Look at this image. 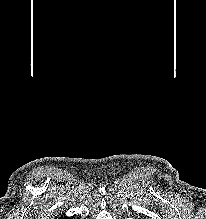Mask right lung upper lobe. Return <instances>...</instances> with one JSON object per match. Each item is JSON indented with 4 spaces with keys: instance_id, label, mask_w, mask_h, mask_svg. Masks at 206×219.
I'll return each instance as SVG.
<instances>
[{
    "instance_id": "1",
    "label": "right lung upper lobe",
    "mask_w": 206,
    "mask_h": 219,
    "mask_svg": "<svg viewBox=\"0 0 206 219\" xmlns=\"http://www.w3.org/2000/svg\"><path fill=\"white\" fill-rule=\"evenodd\" d=\"M60 219H70L68 217H63V215H61Z\"/></svg>"
}]
</instances>
